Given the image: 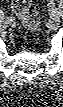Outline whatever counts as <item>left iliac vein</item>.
Returning <instances> with one entry per match:
<instances>
[{"label":"left iliac vein","mask_w":63,"mask_h":107,"mask_svg":"<svg viewBox=\"0 0 63 107\" xmlns=\"http://www.w3.org/2000/svg\"><path fill=\"white\" fill-rule=\"evenodd\" d=\"M50 17L53 21L57 22L60 20V17H61V12L56 10V9H53L51 11V14H50Z\"/></svg>","instance_id":"4c4485c4"}]
</instances>
